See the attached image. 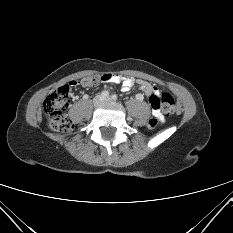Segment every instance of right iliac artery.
<instances>
[{"mask_svg":"<svg viewBox=\"0 0 233 233\" xmlns=\"http://www.w3.org/2000/svg\"><path fill=\"white\" fill-rule=\"evenodd\" d=\"M101 96L102 97H108L109 96V92L106 91V90H104V91L101 92Z\"/></svg>","mask_w":233,"mask_h":233,"instance_id":"82829eb1","label":"right iliac artery"}]
</instances>
